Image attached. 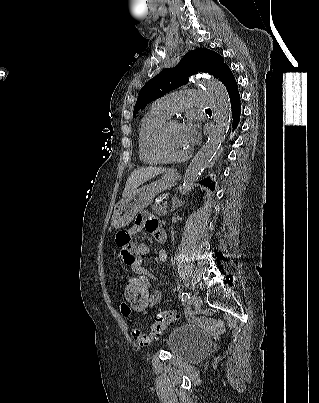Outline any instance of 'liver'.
I'll return each instance as SVG.
<instances>
[{"instance_id":"6515ba94","label":"liver","mask_w":319,"mask_h":403,"mask_svg":"<svg viewBox=\"0 0 319 403\" xmlns=\"http://www.w3.org/2000/svg\"><path fill=\"white\" fill-rule=\"evenodd\" d=\"M165 171L164 168L145 167L134 170L126 181V186L123 191V200L126 199L137 187L147 180L161 174Z\"/></svg>"}]
</instances>
